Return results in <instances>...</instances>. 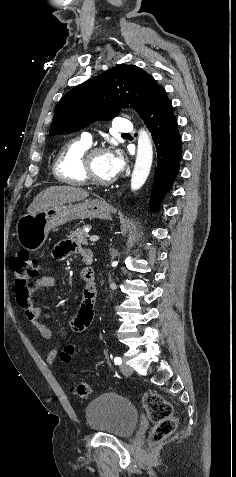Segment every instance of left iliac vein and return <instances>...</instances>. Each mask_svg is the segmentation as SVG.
<instances>
[{
	"label": "left iliac vein",
	"mask_w": 236,
	"mask_h": 477,
	"mask_svg": "<svg viewBox=\"0 0 236 477\" xmlns=\"http://www.w3.org/2000/svg\"><path fill=\"white\" fill-rule=\"evenodd\" d=\"M120 371L125 376H130L133 373L132 368L129 365H126L124 363L120 366Z\"/></svg>",
	"instance_id": "obj_1"
}]
</instances>
